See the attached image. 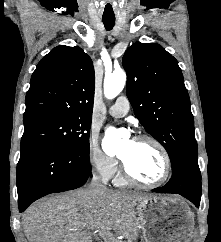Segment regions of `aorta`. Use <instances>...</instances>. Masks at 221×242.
Listing matches in <instances>:
<instances>
[{"label": "aorta", "instance_id": "1", "mask_svg": "<svg viewBox=\"0 0 221 242\" xmlns=\"http://www.w3.org/2000/svg\"><path fill=\"white\" fill-rule=\"evenodd\" d=\"M126 83V73L123 70L114 71L106 75L104 79V95L107 99L117 97L123 90ZM122 144V134L119 130L110 127L105 132L102 143L103 150L106 153L116 152Z\"/></svg>", "mask_w": 221, "mask_h": 242}]
</instances>
